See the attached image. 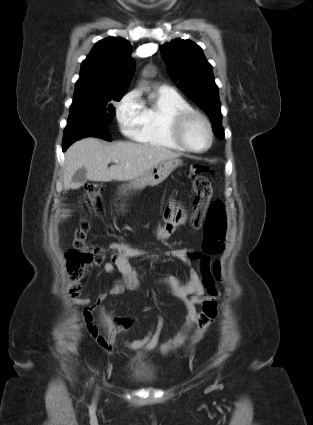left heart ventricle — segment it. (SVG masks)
<instances>
[{
	"instance_id": "b2bd125f",
	"label": "left heart ventricle",
	"mask_w": 313,
	"mask_h": 425,
	"mask_svg": "<svg viewBox=\"0 0 313 425\" xmlns=\"http://www.w3.org/2000/svg\"><path fill=\"white\" fill-rule=\"evenodd\" d=\"M185 138L193 148H204L209 141L205 124L199 119L192 120L186 128Z\"/></svg>"
}]
</instances>
